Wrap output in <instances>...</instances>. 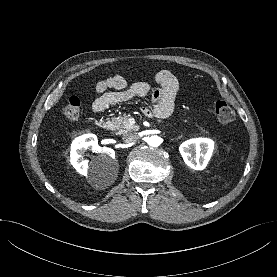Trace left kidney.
<instances>
[{"mask_svg":"<svg viewBox=\"0 0 277 277\" xmlns=\"http://www.w3.org/2000/svg\"><path fill=\"white\" fill-rule=\"evenodd\" d=\"M213 149L214 142L207 138L190 139L179 147L184 162L195 170H203L207 166Z\"/></svg>","mask_w":277,"mask_h":277,"instance_id":"5707ae66","label":"left kidney"}]
</instances>
